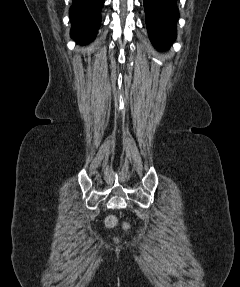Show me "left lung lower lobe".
<instances>
[{"mask_svg":"<svg viewBox=\"0 0 240 287\" xmlns=\"http://www.w3.org/2000/svg\"><path fill=\"white\" fill-rule=\"evenodd\" d=\"M150 39L158 49H166L176 38L179 10L176 0H144Z\"/></svg>","mask_w":240,"mask_h":287,"instance_id":"0a47b994","label":"left lung lower lobe"}]
</instances>
